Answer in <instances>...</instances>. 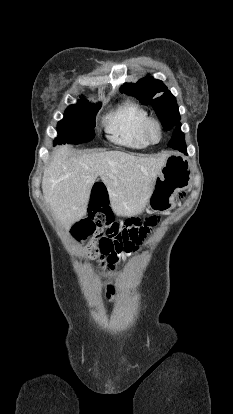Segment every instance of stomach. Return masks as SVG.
I'll list each match as a JSON object with an SVG mask.
<instances>
[{
    "instance_id": "obj_1",
    "label": "stomach",
    "mask_w": 233,
    "mask_h": 414,
    "mask_svg": "<svg viewBox=\"0 0 233 414\" xmlns=\"http://www.w3.org/2000/svg\"><path fill=\"white\" fill-rule=\"evenodd\" d=\"M191 182V168L187 157L172 152L157 176L149 197V207L155 210L169 208L175 195Z\"/></svg>"
}]
</instances>
